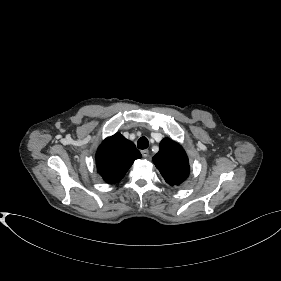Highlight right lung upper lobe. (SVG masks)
I'll use <instances>...</instances> for the list:
<instances>
[{
  "mask_svg": "<svg viewBox=\"0 0 281 281\" xmlns=\"http://www.w3.org/2000/svg\"><path fill=\"white\" fill-rule=\"evenodd\" d=\"M141 153L120 133L106 138L96 153L98 173L108 184L120 181Z\"/></svg>",
  "mask_w": 281,
  "mask_h": 281,
  "instance_id": "right-lung-upper-lobe-1",
  "label": "right lung upper lobe"
}]
</instances>
